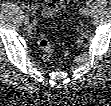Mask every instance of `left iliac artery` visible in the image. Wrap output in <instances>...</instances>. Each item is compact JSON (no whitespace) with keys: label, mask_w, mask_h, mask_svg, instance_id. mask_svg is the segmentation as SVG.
<instances>
[{"label":"left iliac artery","mask_w":111,"mask_h":106,"mask_svg":"<svg viewBox=\"0 0 111 106\" xmlns=\"http://www.w3.org/2000/svg\"><path fill=\"white\" fill-rule=\"evenodd\" d=\"M86 4H87V5H90V4H91V1H87Z\"/></svg>","instance_id":"left-iliac-artery-1"}]
</instances>
